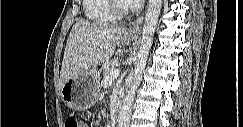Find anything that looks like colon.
<instances>
[{
    "mask_svg": "<svg viewBox=\"0 0 243 127\" xmlns=\"http://www.w3.org/2000/svg\"><path fill=\"white\" fill-rule=\"evenodd\" d=\"M66 127H81L82 125L78 122V120L74 117H68L65 121Z\"/></svg>",
    "mask_w": 243,
    "mask_h": 127,
    "instance_id": "5ec220e1",
    "label": "colon"
}]
</instances>
